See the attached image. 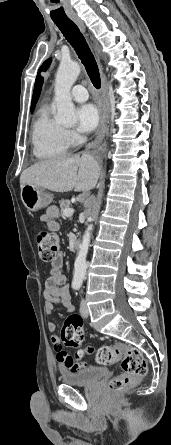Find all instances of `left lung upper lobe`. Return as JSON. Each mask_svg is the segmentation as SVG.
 <instances>
[{
  "mask_svg": "<svg viewBox=\"0 0 171 445\" xmlns=\"http://www.w3.org/2000/svg\"><path fill=\"white\" fill-rule=\"evenodd\" d=\"M51 59L46 60L42 66L40 67L37 77H36V81H35V86H34V92H33V97H32V103H31V112L34 110V107L39 99V95L41 93V88H42V84H43V77H41L40 72L41 71H45L49 65H50Z\"/></svg>",
  "mask_w": 171,
  "mask_h": 445,
  "instance_id": "1",
  "label": "left lung upper lobe"
}]
</instances>
